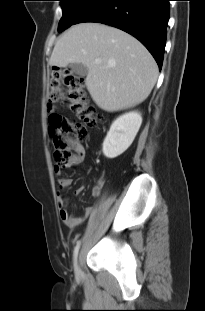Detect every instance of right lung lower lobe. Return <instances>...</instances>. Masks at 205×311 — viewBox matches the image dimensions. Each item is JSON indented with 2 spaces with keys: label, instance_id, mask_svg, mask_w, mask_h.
I'll return each mask as SVG.
<instances>
[{
  "label": "right lung lower lobe",
  "instance_id": "1",
  "mask_svg": "<svg viewBox=\"0 0 205 311\" xmlns=\"http://www.w3.org/2000/svg\"><path fill=\"white\" fill-rule=\"evenodd\" d=\"M170 0H93L74 24L97 22L136 37L162 67Z\"/></svg>",
  "mask_w": 205,
  "mask_h": 311
}]
</instances>
